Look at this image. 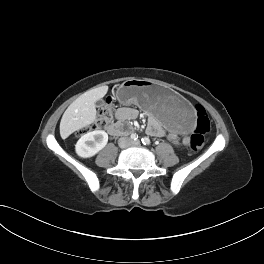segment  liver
I'll return each instance as SVG.
<instances>
[{"label": "liver", "instance_id": "6515ba94", "mask_svg": "<svg viewBox=\"0 0 264 264\" xmlns=\"http://www.w3.org/2000/svg\"><path fill=\"white\" fill-rule=\"evenodd\" d=\"M107 91L108 86L91 89L70 104L60 122V135L63 139L95 121V102L103 98Z\"/></svg>", "mask_w": 264, "mask_h": 264}]
</instances>
